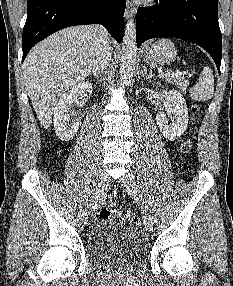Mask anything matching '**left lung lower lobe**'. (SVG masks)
<instances>
[{"instance_id":"1","label":"left lung lower lobe","mask_w":233,"mask_h":286,"mask_svg":"<svg viewBox=\"0 0 233 286\" xmlns=\"http://www.w3.org/2000/svg\"><path fill=\"white\" fill-rule=\"evenodd\" d=\"M136 28L137 47L150 38H180L203 47L220 74L222 35L217 0H159L138 8Z\"/></svg>"}]
</instances>
